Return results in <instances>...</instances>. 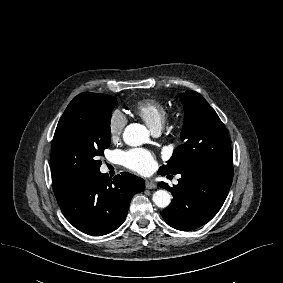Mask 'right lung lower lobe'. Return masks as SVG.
Segmentation results:
<instances>
[{
  "mask_svg": "<svg viewBox=\"0 0 283 283\" xmlns=\"http://www.w3.org/2000/svg\"><path fill=\"white\" fill-rule=\"evenodd\" d=\"M143 179L122 172L112 180L99 171L54 190L66 219L78 230L101 236L125 220L131 198L144 189Z\"/></svg>",
  "mask_w": 283,
  "mask_h": 283,
  "instance_id": "1",
  "label": "right lung lower lobe"
}]
</instances>
